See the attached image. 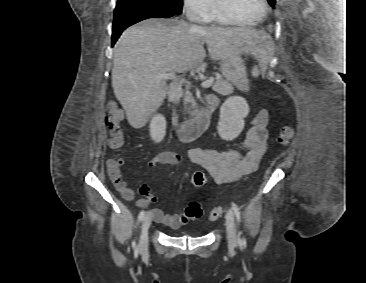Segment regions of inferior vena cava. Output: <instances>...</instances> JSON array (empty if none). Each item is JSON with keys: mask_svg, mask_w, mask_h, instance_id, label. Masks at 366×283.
Here are the masks:
<instances>
[{"mask_svg": "<svg viewBox=\"0 0 366 283\" xmlns=\"http://www.w3.org/2000/svg\"><path fill=\"white\" fill-rule=\"evenodd\" d=\"M172 122H173L174 125H176L177 124V117H173Z\"/></svg>", "mask_w": 366, "mask_h": 283, "instance_id": "inferior-vena-cava-1", "label": "inferior vena cava"}]
</instances>
